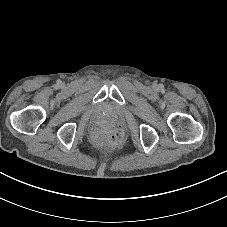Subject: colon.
I'll list each match as a JSON object with an SVG mask.
<instances>
[{"instance_id":"obj_1","label":"colon","mask_w":227,"mask_h":227,"mask_svg":"<svg viewBox=\"0 0 227 227\" xmlns=\"http://www.w3.org/2000/svg\"><path fill=\"white\" fill-rule=\"evenodd\" d=\"M121 128L113 123L103 122L99 130L93 134V142L98 146H113L122 139Z\"/></svg>"}]
</instances>
